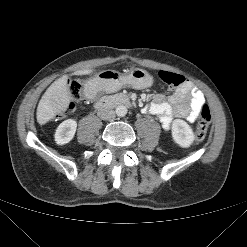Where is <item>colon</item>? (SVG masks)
Returning a JSON list of instances; mask_svg holds the SVG:
<instances>
[{"label": "colon", "instance_id": "1", "mask_svg": "<svg viewBox=\"0 0 247 247\" xmlns=\"http://www.w3.org/2000/svg\"><path fill=\"white\" fill-rule=\"evenodd\" d=\"M159 77L163 83L171 88H175L185 82V78L177 73L169 71H160ZM69 91L72 102L67 106L65 113H70L73 111L75 103L80 100L82 95V83L80 80H72L69 83ZM211 124V112L208 106H204L202 109L201 119L195 131L194 138L196 141H202L210 127Z\"/></svg>", "mask_w": 247, "mask_h": 247}]
</instances>
